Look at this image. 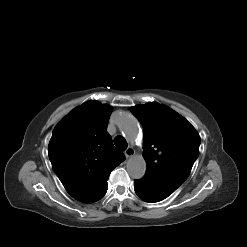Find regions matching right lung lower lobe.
Listing matches in <instances>:
<instances>
[{"instance_id": "1", "label": "right lung lower lobe", "mask_w": 247, "mask_h": 247, "mask_svg": "<svg viewBox=\"0 0 247 247\" xmlns=\"http://www.w3.org/2000/svg\"><path fill=\"white\" fill-rule=\"evenodd\" d=\"M107 189H108V185H107V183H105V184L100 188V190H99L95 195H93V196H92L87 202H85V203H92V202H95V201L100 200V199L103 198V196L106 194Z\"/></svg>"}]
</instances>
